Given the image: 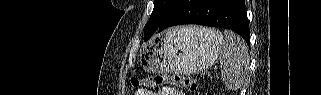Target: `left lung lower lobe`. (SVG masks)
<instances>
[{"instance_id":"obj_1","label":"left lung lower lobe","mask_w":321,"mask_h":95,"mask_svg":"<svg viewBox=\"0 0 321 95\" xmlns=\"http://www.w3.org/2000/svg\"><path fill=\"white\" fill-rule=\"evenodd\" d=\"M181 24L230 29L241 35L248 45L250 44V30L244 0H177L158 31Z\"/></svg>"}]
</instances>
